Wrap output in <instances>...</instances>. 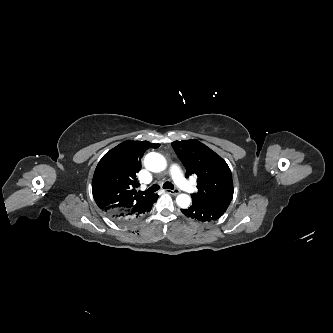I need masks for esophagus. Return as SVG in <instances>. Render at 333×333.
I'll use <instances>...</instances> for the list:
<instances>
[{
    "label": "esophagus",
    "instance_id": "esophagus-1",
    "mask_svg": "<svg viewBox=\"0 0 333 333\" xmlns=\"http://www.w3.org/2000/svg\"><path fill=\"white\" fill-rule=\"evenodd\" d=\"M165 191L172 195H178L180 193V191L178 189H173V190L166 189Z\"/></svg>",
    "mask_w": 333,
    "mask_h": 333
}]
</instances>
